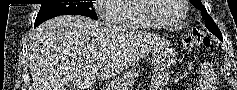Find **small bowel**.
<instances>
[{"label":"small bowel","instance_id":"c3829d8e","mask_svg":"<svg viewBox=\"0 0 237 90\" xmlns=\"http://www.w3.org/2000/svg\"><path fill=\"white\" fill-rule=\"evenodd\" d=\"M169 79V74L165 71L156 73L153 76L150 90H163ZM217 84V77L213 72L211 66L208 64H204L201 67L199 84L192 90H217Z\"/></svg>","mask_w":237,"mask_h":90}]
</instances>
